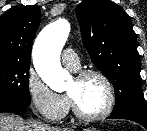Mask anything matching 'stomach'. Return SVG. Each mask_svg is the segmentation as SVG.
Here are the masks:
<instances>
[{
    "label": "stomach",
    "mask_w": 147,
    "mask_h": 131,
    "mask_svg": "<svg viewBox=\"0 0 147 131\" xmlns=\"http://www.w3.org/2000/svg\"><path fill=\"white\" fill-rule=\"evenodd\" d=\"M83 131H98V130H96L94 128H92V129L87 128V129H83Z\"/></svg>",
    "instance_id": "obj_1"
}]
</instances>
